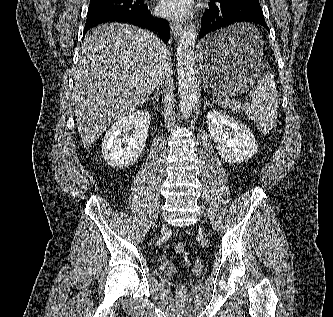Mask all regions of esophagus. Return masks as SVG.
<instances>
[{"mask_svg": "<svg viewBox=\"0 0 333 317\" xmlns=\"http://www.w3.org/2000/svg\"><path fill=\"white\" fill-rule=\"evenodd\" d=\"M182 25L178 24V23H173L171 24V34H172V37L177 40L179 38V36L181 35L182 33Z\"/></svg>", "mask_w": 333, "mask_h": 317, "instance_id": "obj_1", "label": "esophagus"}]
</instances>
